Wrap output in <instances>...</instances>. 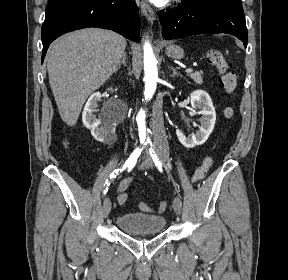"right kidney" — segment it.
I'll return each mask as SVG.
<instances>
[{"mask_svg":"<svg viewBox=\"0 0 288 280\" xmlns=\"http://www.w3.org/2000/svg\"><path fill=\"white\" fill-rule=\"evenodd\" d=\"M112 91V88L109 89ZM101 100V93H93L85 104L82 120L84 125L91 130L92 136L99 142L109 143L115 135V128L105 119V117L96 118L95 109L98 101Z\"/></svg>","mask_w":288,"mask_h":280,"instance_id":"right-kidney-1","label":"right kidney"}]
</instances>
